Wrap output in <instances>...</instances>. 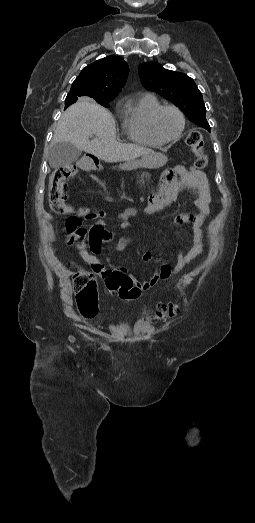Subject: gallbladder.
<instances>
[{
  "instance_id": "obj_1",
  "label": "gallbladder",
  "mask_w": 255,
  "mask_h": 523,
  "mask_svg": "<svg viewBox=\"0 0 255 523\" xmlns=\"http://www.w3.org/2000/svg\"><path fill=\"white\" fill-rule=\"evenodd\" d=\"M81 154L82 150H78L70 142H57L49 150V164L54 170L64 168V166H71L73 162L78 160Z\"/></svg>"
}]
</instances>
